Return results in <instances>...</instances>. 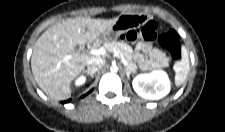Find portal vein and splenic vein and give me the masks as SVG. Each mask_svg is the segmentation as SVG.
I'll list each match as a JSON object with an SVG mask.
<instances>
[{"label":"portal vein and splenic vein","instance_id":"portal-vein-and-splenic-vein-1","mask_svg":"<svg viewBox=\"0 0 225 132\" xmlns=\"http://www.w3.org/2000/svg\"><path fill=\"white\" fill-rule=\"evenodd\" d=\"M114 52L119 56V58L121 59L122 63H123L126 67H128V63H127V61L125 60V58L123 57V55H122L121 53L117 52V51H114ZM89 53L92 54V55H102V56H104V55L107 54V50L104 49V48L92 49V50H90Z\"/></svg>","mask_w":225,"mask_h":132}]
</instances>
